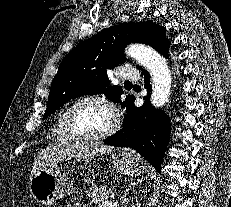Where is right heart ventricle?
Here are the masks:
<instances>
[{"mask_svg":"<svg viewBox=\"0 0 231 207\" xmlns=\"http://www.w3.org/2000/svg\"><path fill=\"white\" fill-rule=\"evenodd\" d=\"M67 108L61 110L58 114L54 128L53 134L55 139L60 143H71L74 142L75 139L68 133L66 126H65V112Z\"/></svg>","mask_w":231,"mask_h":207,"instance_id":"e07e8e85","label":"right heart ventricle"}]
</instances>
